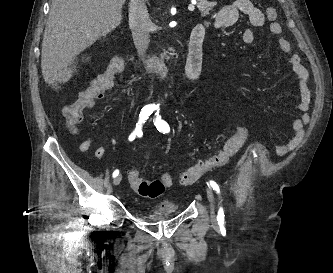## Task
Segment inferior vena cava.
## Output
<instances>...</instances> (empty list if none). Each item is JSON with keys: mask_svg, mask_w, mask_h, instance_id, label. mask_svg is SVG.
Segmentation results:
<instances>
[{"mask_svg": "<svg viewBox=\"0 0 333 273\" xmlns=\"http://www.w3.org/2000/svg\"><path fill=\"white\" fill-rule=\"evenodd\" d=\"M151 21L145 5V0H130L129 26L133 41L139 54H144L148 48V36Z\"/></svg>", "mask_w": 333, "mask_h": 273, "instance_id": "1", "label": "inferior vena cava"}]
</instances>
